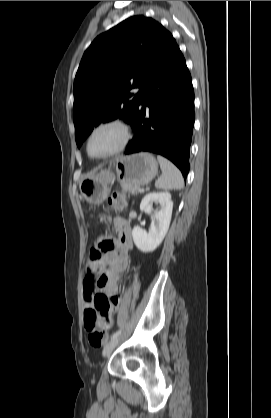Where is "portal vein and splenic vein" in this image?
I'll return each instance as SVG.
<instances>
[{
    "mask_svg": "<svg viewBox=\"0 0 271 418\" xmlns=\"http://www.w3.org/2000/svg\"><path fill=\"white\" fill-rule=\"evenodd\" d=\"M139 192H143L144 191V189H142V188H139V190H138Z\"/></svg>",
    "mask_w": 271,
    "mask_h": 418,
    "instance_id": "1",
    "label": "portal vein and splenic vein"
}]
</instances>
